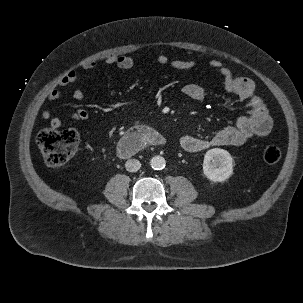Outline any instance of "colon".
<instances>
[{
  "mask_svg": "<svg viewBox=\"0 0 303 303\" xmlns=\"http://www.w3.org/2000/svg\"><path fill=\"white\" fill-rule=\"evenodd\" d=\"M79 137L75 130H58L52 127L42 128L36 137L38 148L45 163L53 168H62L74 155ZM281 158V150L276 145L264 149L263 159L267 164H275Z\"/></svg>",
  "mask_w": 303,
  "mask_h": 303,
  "instance_id": "colon-1",
  "label": "colon"
}]
</instances>
